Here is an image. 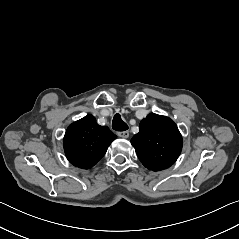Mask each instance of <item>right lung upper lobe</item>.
<instances>
[{"label": "right lung upper lobe", "instance_id": "obj_1", "mask_svg": "<svg viewBox=\"0 0 239 239\" xmlns=\"http://www.w3.org/2000/svg\"><path fill=\"white\" fill-rule=\"evenodd\" d=\"M116 135L97 124L93 115L72 123L64 136V150L71 164L82 169L93 167L106 153Z\"/></svg>", "mask_w": 239, "mask_h": 239}]
</instances>
